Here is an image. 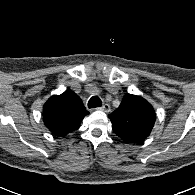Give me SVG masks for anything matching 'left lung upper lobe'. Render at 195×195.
Here are the masks:
<instances>
[{
    "label": "left lung upper lobe",
    "instance_id": "left-lung-upper-lobe-1",
    "mask_svg": "<svg viewBox=\"0 0 195 195\" xmlns=\"http://www.w3.org/2000/svg\"><path fill=\"white\" fill-rule=\"evenodd\" d=\"M113 131L125 143H140L151 133L155 123L154 109L140 96L127 94L120 106L109 115Z\"/></svg>",
    "mask_w": 195,
    "mask_h": 195
}]
</instances>
